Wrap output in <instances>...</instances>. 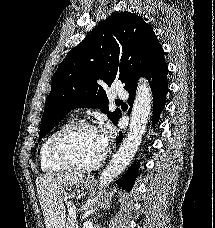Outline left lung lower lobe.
Here are the masks:
<instances>
[{
    "instance_id": "1",
    "label": "left lung lower lobe",
    "mask_w": 215,
    "mask_h": 228,
    "mask_svg": "<svg viewBox=\"0 0 215 228\" xmlns=\"http://www.w3.org/2000/svg\"><path fill=\"white\" fill-rule=\"evenodd\" d=\"M167 73L168 67L164 59V51L161 49L150 67L146 71L144 77L148 79L151 91L153 94V118L152 125L156 124L161 111L164 108L166 102V94L168 92V82H167ZM137 83L132 86L129 92V100L128 102L132 105L136 93ZM123 135L119 133V137L117 140V145L121 142ZM139 165L133 164L128 171L123 175L116 183L123 187L124 189L130 191L135 178L137 176Z\"/></svg>"
}]
</instances>
